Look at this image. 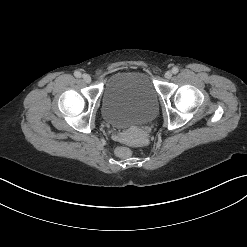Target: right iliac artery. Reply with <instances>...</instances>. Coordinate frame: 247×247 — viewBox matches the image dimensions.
<instances>
[{
	"mask_svg": "<svg viewBox=\"0 0 247 247\" xmlns=\"http://www.w3.org/2000/svg\"><path fill=\"white\" fill-rule=\"evenodd\" d=\"M74 76L77 77V78H80L81 77V73L79 71H75L74 72Z\"/></svg>",
	"mask_w": 247,
	"mask_h": 247,
	"instance_id": "1",
	"label": "right iliac artery"
}]
</instances>
